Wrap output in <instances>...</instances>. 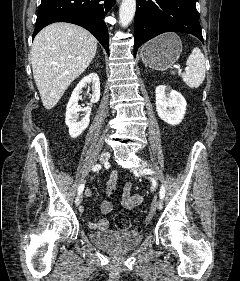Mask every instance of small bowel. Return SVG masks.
<instances>
[{
  "label": "small bowel",
  "instance_id": "1",
  "mask_svg": "<svg viewBox=\"0 0 240 281\" xmlns=\"http://www.w3.org/2000/svg\"><path fill=\"white\" fill-rule=\"evenodd\" d=\"M118 181L117 171H112L110 178L108 180L107 188L108 190H114ZM86 195L91 196V190H86ZM143 201V196L140 194L132 193V184L129 181H126L123 185L122 193V204L125 208L133 209L139 206ZM112 210V204L109 201H104L101 204L102 214H109ZM80 211L83 212L84 208L81 207ZM88 226L93 230H106L109 227V221L106 218H100L93 221L87 222Z\"/></svg>",
  "mask_w": 240,
  "mask_h": 281
}]
</instances>
